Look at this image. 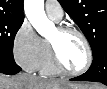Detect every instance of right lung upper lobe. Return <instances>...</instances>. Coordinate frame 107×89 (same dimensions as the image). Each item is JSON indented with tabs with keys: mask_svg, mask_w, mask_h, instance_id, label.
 <instances>
[{
	"mask_svg": "<svg viewBox=\"0 0 107 89\" xmlns=\"http://www.w3.org/2000/svg\"><path fill=\"white\" fill-rule=\"evenodd\" d=\"M0 16L24 19L23 0H0Z\"/></svg>",
	"mask_w": 107,
	"mask_h": 89,
	"instance_id": "obj_1",
	"label": "right lung upper lobe"
}]
</instances>
